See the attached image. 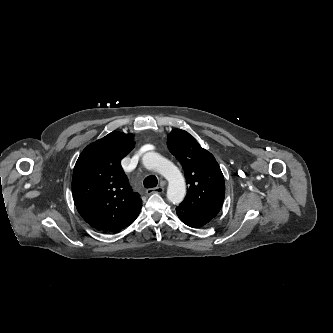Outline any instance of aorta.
I'll return each instance as SVG.
<instances>
[{
  "label": "aorta",
  "instance_id": "762f6f07",
  "mask_svg": "<svg viewBox=\"0 0 333 333\" xmlns=\"http://www.w3.org/2000/svg\"><path fill=\"white\" fill-rule=\"evenodd\" d=\"M146 168L159 172L167 181V198L173 204L180 203L185 196V181L178 168L157 153L148 152L142 158Z\"/></svg>",
  "mask_w": 333,
  "mask_h": 333
}]
</instances>
